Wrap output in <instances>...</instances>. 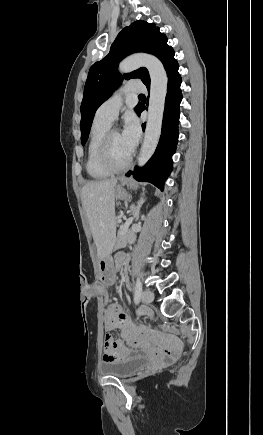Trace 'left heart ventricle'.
<instances>
[{"label":"left heart ventricle","mask_w":263,"mask_h":435,"mask_svg":"<svg viewBox=\"0 0 263 435\" xmlns=\"http://www.w3.org/2000/svg\"><path fill=\"white\" fill-rule=\"evenodd\" d=\"M130 154L131 152L122 140L121 133L118 131L114 132L110 140V155L112 161L116 165H121L128 159Z\"/></svg>","instance_id":"1"}]
</instances>
